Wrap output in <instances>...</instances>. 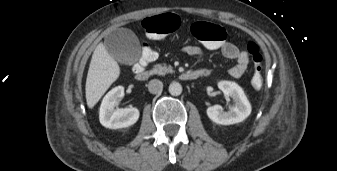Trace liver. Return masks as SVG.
<instances>
[{
	"label": "liver",
	"mask_w": 337,
	"mask_h": 171,
	"mask_svg": "<svg viewBox=\"0 0 337 171\" xmlns=\"http://www.w3.org/2000/svg\"><path fill=\"white\" fill-rule=\"evenodd\" d=\"M120 75V67L103 43L95 48L86 79V101L93 108Z\"/></svg>",
	"instance_id": "6515ba94"
}]
</instances>
